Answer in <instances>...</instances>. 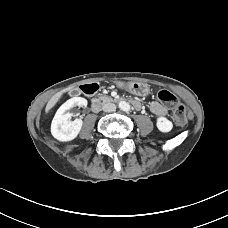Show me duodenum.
Here are the masks:
<instances>
[{
	"instance_id": "410a0bca",
	"label": "duodenum",
	"mask_w": 228,
	"mask_h": 228,
	"mask_svg": "<svg viewBox=\"0 0 228 228\" xmlns=\"http://www.w3.org/2000/svg\"><path fill=\"white\" fill-rule=\"evenodd\" d=\"M82 91L87 96L93 97L92 98V108L94 110H98L101 105V102H102L100 99L94 97V95L98 91V86L96 84H87V85L82 86Z\"/></svg>"
}]
</instances>
